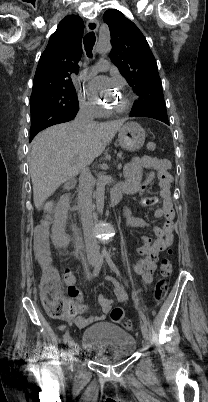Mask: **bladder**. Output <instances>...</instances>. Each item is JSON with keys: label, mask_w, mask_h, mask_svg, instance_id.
I'll list each match as a JSON object with an SVG mask.
<instances>
[{"label": "bladder", "mask_w": 208, "mask_h": 402, "mask_svg": "<svg viewBox=\"0 0 208 402\" xmlns=\"http://www.w3.org/2000/svg\"><path fill=\"white\" fill-rule=\"evenodd\" d=\"M83 348H86L96 360L104 363H119L134 352L135 337L113 323H96L84 330Z\"/></svg>", "instance_id": "bladder-1"}]
</instances>
